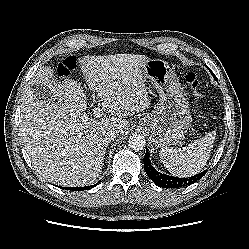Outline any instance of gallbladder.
Instances as JSON below:
<instances>
[{
  "label": "gallbladder",
  "instance_id": "bac80fb5",
  "mask_svg": "<svg viewBox=\"0 0 249 249\" xmlns=\"http://www.w3.org/2000/svg\"><path fill=\"white\" fill-rule=\"evenodd\" d=\"M33 92L34 94L39 98L42 99L44 101H53V95L50 92L49 89H47L46 87L40 85V84H35L32 86Z\"/></svg>",
  "mask_w": 249,
  "mask_h": 249
}]
</instances>
